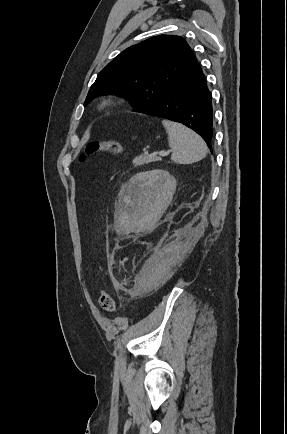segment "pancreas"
I'll list each match as a JSON object with an SVG mask.
<instances>
[{
    "instance_id": "cf45deb5",
    "label": "pancreas",
    "mask_w": 287,
    "mask_h": 434,
    "mask_svg": "<svg viewBox=\"0 0 287 434\" xmlns=\"http://www.w3.org/2000/svg\"><path fill=\"white\" fill-rule=\"evenodd\" d=\"M155 161H159V158L152 155H140L133 159V164L134 166H141Z\"/></svg>"
}]
</instances>
